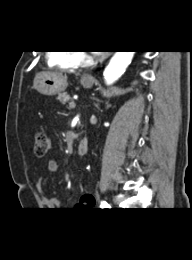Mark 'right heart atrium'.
<instances>
[{"mask_svg":"<svg viewBox=\"0 0 192 260\" xmlns=\"http://www.w3.org/2000/svg\"><path fill=\"white\" fill-rule=\"evenodd\" d=\"M84 58H85V57H84L83 55H80V56H79L80 61H81V60H84Z\"/></svg>","mask_w":192,"mask_h":260,"instance_id":"d8ad5b80","label":"right heart atrium"}]
</instances>
